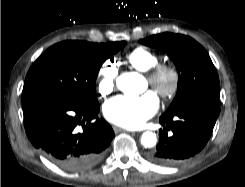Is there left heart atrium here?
Wrapping results in <instances>:
<instances>
[{
  "mask_svg": "<svg viewBox=\"0 0 245 187\" xmlns=\"http://www.w3.org/2000/svg\"><path fill=\"white\" fill-rule=\"evenodd\" d=\"M159 108L155 92L147 91L137 97L116 96L103 106L105 118L125 128H138L152 117Z\"/></svg>",
  "mask_w": 245,
  "mask_h": 187,
  "instance_id": "obj_1",
  "label": "left heart atrium"
}]
</instances>
